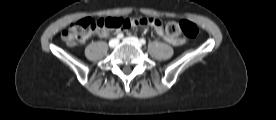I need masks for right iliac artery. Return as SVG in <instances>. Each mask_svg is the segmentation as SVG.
<instances>
[{
	"mask_svg": "<svg viewBox=\"0 0 276 120\" xmlns=\"http://www.w3.org/2000/svg\"><path fill=\"white\" fill-rule=\"evenodd\" d=\"M123 33H119L118 35H117V39H122L123 38Z\"/></svg>",
	"mask_w": 276,
	"mask_h": 120,
	"instance_id": "1",
	"label": "right iliac artery"
}]
</instances>
